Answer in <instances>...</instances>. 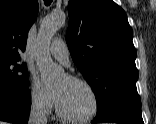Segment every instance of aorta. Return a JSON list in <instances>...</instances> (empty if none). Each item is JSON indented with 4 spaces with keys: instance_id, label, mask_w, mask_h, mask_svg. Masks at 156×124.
<instances>
[{
    "instance_id": "aorta-1",
    "label": "aorta",
    "mask_w": 156,
    "mask_h": 124,
    "mask_svg": "<svg viewBox=\"0 0 156 124\" xmlns=\"http://www.w3.org/2000/svg\"><path fill=\"white\" fill-rule=\"evenodd\" d=\"M66 16L63 12H54L41 23L35 60L44 84L53 83L61 74L62 69L52 61L49 45L56 31L64 24Z\"/></svg>"
}]
</instances>
